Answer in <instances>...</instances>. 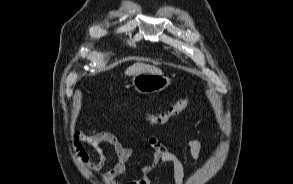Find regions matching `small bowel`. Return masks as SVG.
<instances>
[{
    "instance_id": "small-bowel-1",
    "label": "small bowel",
    "mask_w": 293,
    "mask_h": 184,
    "mask_svg": "<svg viewBox=\"0 0 293 184\" xmlns=\"http://www.w3.org/2000/svg\"><path fill=\"white\" fill-rule=\"evenodd\" d=\"M73 150L78 156L82 166L90 168L92 165L97 169H102L107 157L102 143L111 145L115 152V163L112 168L107 171L102 180L104 182L111 181L118 175L124 174L128 170V163L134 156V151L124 147L119 139L112 133L93 128L88 132L75 131L72 134ZM148 144L153 151L150 163L142 164L137 167L138 176L132 179L129 184H152L149 174L162 164H170L173 170V181L175 184H183L184 166L178 157L167 149V147L155 136L148 138ZM85 146L92 148L98 155L96 163L90 162L89 154ZM191 158L197 162L200 158L202 145L198 139H192L188 143Z\"/></svg>"
}]
</instances>
